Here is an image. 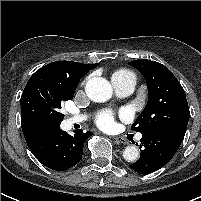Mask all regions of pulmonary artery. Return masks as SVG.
<instances>
[{"mask_svg": "<svg viewBox=\"0 0 201 201\" xmlns=\"http://www.w3.org/2000/svg\"><path fill=\"white\" fill-rule=\"evenodd\" d=\"M113 86L115 88L116 94L122 97L128 96L133 93L136 85V77L130 76L122 80H112ZM86 120L85 115H75L68 118L67 122L69 124L79 123ZM142 137L141 134L138 135V139Z\"/></svg>", "mask_w": 201, "mask_h": 201, "instance_id": "obj_1", "label": "pulmonary artery"}]
</instances>
